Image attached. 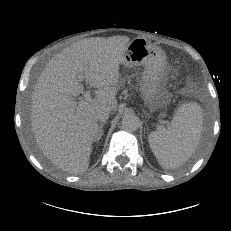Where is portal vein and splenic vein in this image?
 Masks as SVG:
<instances>
[{
  "instance_id": "18ae733b",
  "label": "portal vein and splenic vein",
  "mask_w": 231,
  "mask_h": 231,
  "mask_svg": "<svg viewBox=\"0 0 231 231\" xmlns=\"http://www.w3.org/2000/svg\"><path fill=\"white\" fill-rule=\"evenodd\" d=\"M78 78H79L80 80L86 79L83 73L79 74V75H78ZM79 100H80V101H79L78 107H79V108H82V107L85 106L88 102L91 101V93H90V91H86V92L84 93V96H83L82 98H80Z\"/></svg>"
}]
</instances>
